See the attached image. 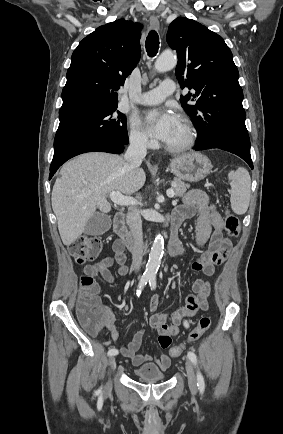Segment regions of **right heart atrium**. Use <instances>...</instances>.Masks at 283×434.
<instances>
[{
	"label": "right heart atrium",
	"mask_w": 283,
	"mask_h": 434,
	"mask_svg": "<svg viewBox=\"0 0 283 434\" xmlns=\"http://www.w3.org/2000/svg\"><path fill=\"white\" fill-rule=\"evenodd\" d=\"M129 140L134 147L140 149H147L153 145V141L140 128L139 124L135 120L130 122Z\"/></svg>",
	"instance_id": "d8ad5b80"
}]
</instances>
